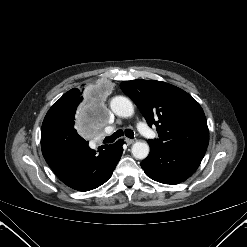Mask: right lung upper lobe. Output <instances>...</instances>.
Returning <instances> with one entry per match:
<instances>
[{
	"mask_svg": "<svg viewBox=\"0 0 247 247\" xmlns=\"http://www.w3.org/2000/svg\"><path fill=\"white\" fill-rule=\"evenodd\" d=\"M83 90L84 89H82V90L71 89L70 91L65 93L60 99H66V98L79 99L83 93Z\"/></svg>",
	"mask_w": 247,
	"mask_h": 247,
	"instance_id": "cb5924a9",
	"label": "right lung upper lobe"
}]
</instances>
